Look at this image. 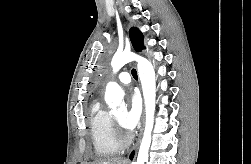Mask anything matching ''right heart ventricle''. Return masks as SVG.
I'll list each match as a JSON object with an SVG mask.
<instances>
[{"mask_svg":"<svg viewBox=\"0 0 251 164\" xmlns=\"http://www.w3.org/2000/svg\"><path fill=\"white\" fill-rule=\"evenodd\" d=\"M89 124L95 153L100 157L117 154L120 144L113 116L98 100L93 101L91 104Z\"/></svg>","mask_w":251,"mask_h":164,"instance_id":"e07e8e85","label":"right heart ventricle"}]
</instances>
